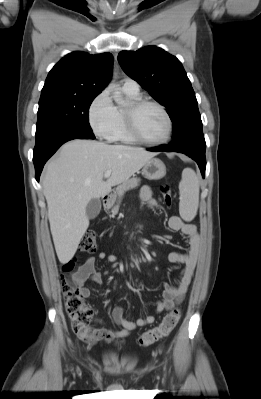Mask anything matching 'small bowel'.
Returning a JSON list of instances; mask_svg holds the SVG:
<instances>
[{
  "label": "small bowel",
  "mask_w": 261,
  "mask_h": 399,
  "mask_svg": "<svg viewBox=\"0 0 261 399\" xmlns=\"http://www.w3.org/2000/svg\"><path fill=\"white\" fill-rule=\"evenodd\" d=\"M139 200L142 205L151 207L157 205L152 190L148 186H144L140 189ZM168 226L172 231L180 232L187 237L188 250L186 253L174 251L168 255V260L171 263H181L183 264V269L177 286H172L167 283L164 284L162 298L156 303L157 313L168 311L182 301L190 286L200 252V239L195 225L184 222L177 215H172L168 219ZM96 259L105 260L109 263H117L119 261L116 255L101 251L97 254L96 258H88L77 267L71 274V279L84 298L89 297L91 293L90 289L85 286L87 281L91 280L96 283H101L102 281L101 275L95 271ZM112 316L114 321L121 327L120 330H114L98 319L96 322L101 324V326L98 328H89L88 338H79L89 345H95L100 341L107 343L120 342L124 340L131 331L152 324L155 320L154 316L148 315L136 321H130L125 317L124 309L121 306H116L113 309Z\"/></svg>",
  "instance_id": "1"
}]
</instances>
